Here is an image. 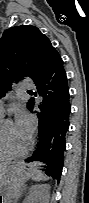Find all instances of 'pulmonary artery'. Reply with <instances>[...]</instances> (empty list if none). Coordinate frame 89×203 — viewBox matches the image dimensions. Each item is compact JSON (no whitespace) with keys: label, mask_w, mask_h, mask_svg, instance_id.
<instances>
[{"label":"pulmonary artery","mask_w":89,"mask_h":203,"mask_svg":"<svg viewBox=\"0 0 89 203\" xmlns=\"http://www.w3.org/2000/svg\"><path fill=\"white\" fill-rule=\"evenodd\" d=\"M33 87H34L33 83L23 82L21 85V90H27V89L33 88Z\"/></svg>","instance_id":"e3ab8cb5"}]
</instances>
